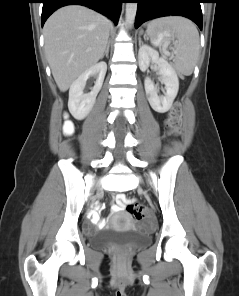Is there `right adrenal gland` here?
<instances>
[{"instance_id":"1","label":"right adrenal gland","mask_w":239,"mask_h":296,"mask_svg":"<svg viewBox=\"0 0 239 296\" xmlns=\"http://www.w3.org/2000/svg\"><path fill=\"white\" fill-rule=\"evenodd\" d=\"M109 48H110V43H108L107 47H106V50H105V53L102 55L101 59L104 58V56L108 57V54H109Z\"/></svg>"}]
</instances>
